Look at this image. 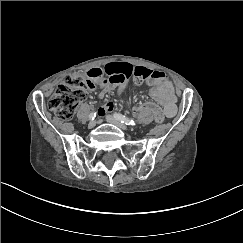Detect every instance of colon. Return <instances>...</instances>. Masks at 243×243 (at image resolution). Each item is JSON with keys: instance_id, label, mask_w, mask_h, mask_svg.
<instances>
[{"instance_id": "5ec220e1", "label": "colon", "mask_w": 243, "mask_h": 243, "mask_svg": "<svg viewBox=\"0 0 243 243\" xmlns=\"http://www.w3.org/2000/svg\"><path fill=\"white\" fill-rule=\"evenodd\" d=\"M91 88H93L92 80L80 75H69L48 100V107L59 118L69 119L74 115L76 107L86 98L88 90ZM138 110L152 113L157 123H162L164 120L162 110L153 103H144L138 107Z\"/></svg>"}]
</instances>
